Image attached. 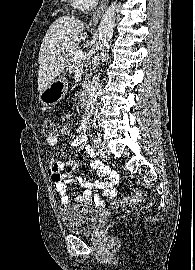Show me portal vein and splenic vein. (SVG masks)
Returning <instances> with one entry per match:
<instances>
[{
    "mask_svg": "<svg viewBox=\"0 0 195 270\" xmlns=\"http://www.w3.org/2000/svg\"><path fill=\"white\" fill-rule=\"evenodd\" d=\"M85 59V54L82 51H77L74 53V60L81 62Z\"/></svg>",
    "mask_w": 195,
    "mask_h": 270,
    "instance_id": "obj_1",
    "label": "portal vein and splenic vein"
}]
</instances>
